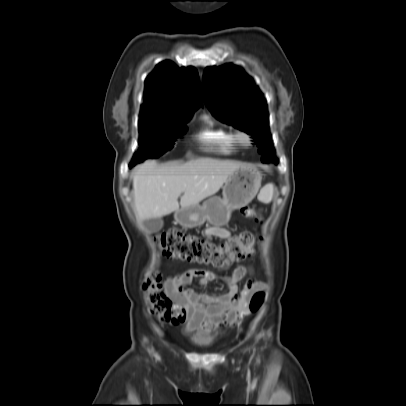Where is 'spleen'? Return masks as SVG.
Masks as SVG:
<instances>
[{"label":"spleen","instance_id":"3e777b00","mask_svg":"<svg viewBox=\"0 0 406 406\" xmlns=\"http://www.w3.org/2000/svg\"><path fill=\"white\" fill-rule=\"evenodd\" d=\"M273 191H274V185L273 184H267L264 186L260 192V196L266 201L270 202L273 197Z\"/></svg>","mask_w":406,"mask_h":406}]
</instances>
